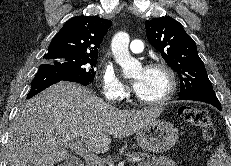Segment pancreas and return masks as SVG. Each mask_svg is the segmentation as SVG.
<instances>
[{"instance_id":"1","label":"pancreas","mask_w":231,"mask_h":166,"mask_svg":"<svg viewBox=\"0 0 231 166\" xmlns=\"http://www.w3.org/2000/svg\"><path fill=\"white\" fill-rule=\"evenodd\" d=\"M126 157H139L141 158L142 162L138 164V166H176L173 160H170L166 157H156L150 156L142 152H135V153H125ZM145 158H147L145 160ZM92 166V165H91ZM99 166H105L104 162Z\"/></svg>"}]
</instances>
